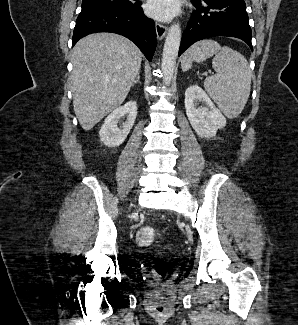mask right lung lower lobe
I'll return each instance as SVG.
<instances>
[{"instance_id": "obj_1", "label": "right lung lower lobe", "mask_w": 298, "mask_h": 325, "mask_svg": "<svg viewBox=\"0 0 298 325\" xmlns=\"http://www.w3.org/2000/svg\"><path fill=\"white\" fill-rule=\"evenodd\" d=\"M96 32H113L133 41L151 61L157 45L155 23L139 5L130 8L81 11L73 34V45L82 37Z\"/></svg>"}]
</instances>
